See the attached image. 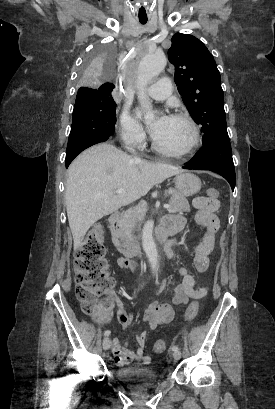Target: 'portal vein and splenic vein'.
I'll return each instance as SVG.
<instances>
[{
	"mask_svg": "<svg viewBox=\"0 0 275 409\" xmlns=\"http://www.w3.org/2000/svg\"><path fill=\"white\" fill-rule=\"evenodd\" d=\"M115 192H125V188H118ZM164 209H170V205H163Z\"/></svg>",
	"mask_w": 275,
	"mask_h": 409,
	"instance_id": "obj_1",
	"label": "portal vein and splenic vein"
}]
</instances>
